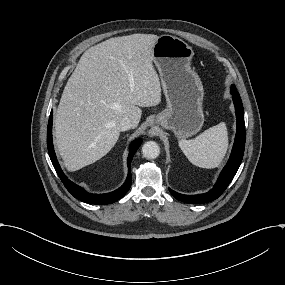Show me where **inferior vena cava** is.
I'll use <instances>...</instances> for the list:
<instances>
[{"mask_svg":"<svg viewBox=\"0 0 285 285\" xmlns=\"http://www.w3.org/2000/svg\"><path fill=\"white\" fill-rule=\"evenodd\" d=\"M117 128L119 131H125L130 128H133V123L128 117L122 118V120L118 123Z\"/></svg>","mask_w":285,"mask_h":285,"instance_id":"inferior-vena-cava-1","label":"inferior vena cava"}]
</instances>
